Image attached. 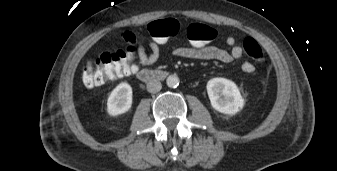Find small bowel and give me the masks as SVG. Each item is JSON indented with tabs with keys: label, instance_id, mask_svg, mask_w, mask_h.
I'll return each mask as SVG.
<instances>
[{
	"label": "small bowel",
	"instance_id": "c3829d8e",
	"mask_svg": "<svg viewBox=\"0 0 337 171\" xmlns=\"http://www.w3.org/2000/svg\"><path fill=\"white\" fill-rule=\"evenodd\" d=\"M126 41L129 46L135 49V55L138 63L141 66H151L155 64L160 58V45L155 41H151L148 45L149 52L145 47L131 34L126 35ZM230 50L218 46H181L174 49L173 54L178 58L192 59V60H216L223 63H230L242 57L243 49L241 46L235 45L236 41L233 37L228 36L225 39ZM244 74H252L255 67L250 62H244L241 66Z\"/></svg>",
	"mask_w": 337,
	"mask_h": 171
}]
</instances>
